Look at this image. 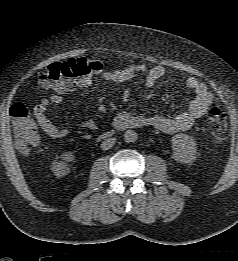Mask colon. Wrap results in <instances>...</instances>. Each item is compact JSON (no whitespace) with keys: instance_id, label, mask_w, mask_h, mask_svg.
<instances>
[{"instance_id":"1","label":"colon","mask_w":238,"mask_h":261,"mask_svg":"<svg viewBox=\"0 0 238 261\" xmlns=\"http://www.w3.org/2000/svg\"><path fill=\"white\" fill-rule=\"evenodd\" d=\"M102 69L101 62L79 57L63 62H56L48 66L40 76L41 84L51 90L66 92L76 81L91 77ZM13 121V131L18 149L27 155L31 148L38 144L39 133L30 116L27 107L21 103L14 104L10 109ZM208 124L212 136L217 141L227 137L226 114L218 107H213L208 113Z\"/></svg>"}]
</instances>
